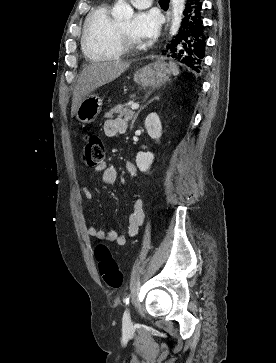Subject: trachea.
Instances as JSON below:
<instances>
[{
	"mask_svg": "<svg viewBox=\"0 0 276 363\" xmlns=\"http://www.w3.org/2000/svg\"><path fill=\"white\" fill-rule=\"evenodd\" d=\"M160 5H168L169 4V0H159Z\"/></svg>",
	"mask_w": 276,
	"mask_h": 363,
	"instance_id": "trachea-1",
	"label": "trachea"
}]
</instances>
